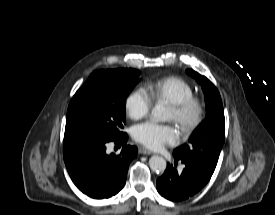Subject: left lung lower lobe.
Returning a JSON list of instances; mask_svg holds the SVG:
<instances>
[{"label": "left lung lower lobe", "instance_id": "obj_1", "mask_svg": "<svg viewBox=\"0 0 275 215\" xmlns=\"http://www.w3.org/2000/svg\"><path fill=\"white\" fill-rule=\"evenodd\" d=\"M174 165L167 164L164 174L156 181L158 192L164 198L179 202L189 199L201 191L209 182L215 168L174 156ZM184 164L182 172L176 170L177 162Z\"/></svg>", "mask_w": 275, "mask_h": 215}]
</instances>
